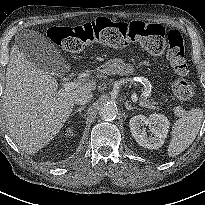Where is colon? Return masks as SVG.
<instances>
[{
    "instance_id": "obj_1",
    "label": "colon",
    "mask_w": 205,
    "mask_h": 205,
    "mask_svg": "<svg viewBox=\"0 0 205 205\" xmlns=\"http://www.w3.org/2000/svg\"><path fill=\"white\" fill-rule=\"evenodd\" d=\"M48 36L63 50L69 52H78L89 42L115 48L137 43L153 53H162L166 49L169 63L178 76L172 85L175 98L189 101L194 95V89L186 78L188 66L183 37L175 29L167 33L165 27L159 23L141 20L124 23L99 18L75 27L53 26L48 30Z\"/></svg>"
}]
</instances>
